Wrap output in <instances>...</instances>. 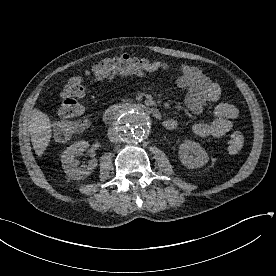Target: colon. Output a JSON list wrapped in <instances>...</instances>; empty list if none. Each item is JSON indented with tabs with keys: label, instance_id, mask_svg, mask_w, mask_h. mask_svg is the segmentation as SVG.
I'll use <instances>...</instances> for the list:
<instances>
[{
	"label": "colon",
	"instance_id": "5ec220e1",
	"mask_svg": "<svg viewBox=\"0 0 276 276\" xmlns=\"http://www.w3.org/2000/svg\"><path fill=\"white\" fill-rule=\"evenodd\" d=\"M150 61L130 55L104 59L95 63L88 76L99 80L116 75H141L149 72ZM87 92V85L83 77H73L63 87L60 115L62 121L53 129L54 138L58 141L68 140L71 136L85 130L89 124L84 106L79 102ZM245 147V137L240 131L233 132L227 142L230 154H237Z\"/></svg>",
	"mask_w": 276,
	"mask_h": 276
}]
</instances>
